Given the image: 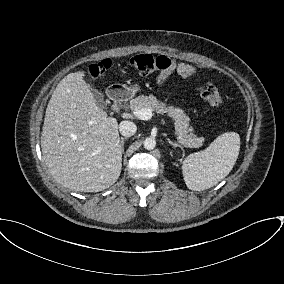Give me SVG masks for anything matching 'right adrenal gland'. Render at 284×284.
Returning <instances> with one entry per match:
<instances>
[{
    "instance_id": "right-adrenal-gland-1",
    "label": "right adrenal gland",
    "mask_w": 284,
    "mask_h": 284,
    "mask_svg": "<svg viewBox=\"0 0 284 284\" xmlns=\"http://www.w3.org/2000/svg\"><path fill=\"white\" fill-rule=\"evenodd\" d=\"M126 139H127L126 137H121L120 145H121L122 153H124V141Z\"/></svg>"
}]
</instances>
